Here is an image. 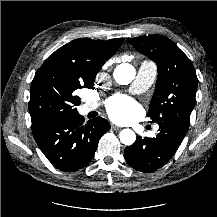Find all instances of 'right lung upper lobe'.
Masks as SVG:
<instances>
[{"mask_svg": "<svg viewBox=\"0 0 217 217\" xmlns=\"http://www.w3.org/2000/svg\"><path fill=\"white\" fill-rule=\"evenodd\" d=\"M123 40H73L52 53L41 69L55 67L80 79L94 80L103 64L113 56Z\"/></svg>", "mask_w": 217, "mask_h": 217, "instance_id": "1", "label": "right lung upper lobe"}]
</instances>
